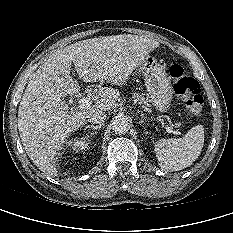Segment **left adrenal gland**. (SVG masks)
Listing matches in <instances>:
<instances>
[{
	"label": "left adrenal gland",
	"mask_w": 233,
	"mask_h": 233,
	"mask_svg": "<svg viewBox=\"0 0 233 233\" xmlns=\"http://www.w3.org/2000/svg\"><path fill=\"white\" fill-rule=\"evenodd\" d=\"M141 117H142V121H141V123H143L144 122V118H145V116H144V114L143 113H141ZM147 133V132H146Z\"/></svg>",
	"instance_id": "left-adrenal-gland-1"
}]
</instances>
